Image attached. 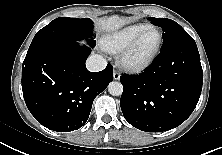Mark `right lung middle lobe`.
Instances as JSON below:
<instances>
[{"label": "right lung middle lobe", "mask_w": 222, "mask_h": 155, "mask_svg": "<svg viewBox=\"0 0 222 155\" xmlns=\"http://www.w3.org/2000/svg\"><path fill=\"white\" fill-rule=\"evenodd\" d=\"M92 29L93 22L89 18L59 17L36 33L26 56H30L49 45L61 42L86 39L88 44L93 43V40L88 39L91 38Z\"/></svg>", "instance_id": "obj_1"}]
</instances>
